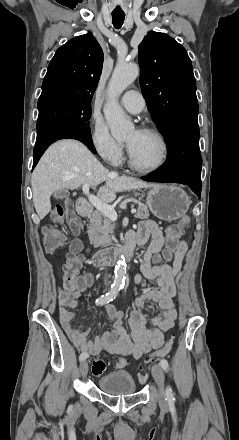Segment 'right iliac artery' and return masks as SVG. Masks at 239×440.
<instances>
[{
	"label": "right iliac artery",
	"mask_w": 239,
	"mask_h": 440,
	"mask_svg": "<svg viewBox=\"0 0 239 440\" xmlns=\"http://www.w3.org/2000/svg\"><path fill=\"white\" fill-rule=\"evenodd\" d=\"M120 288L118 286H112L111 290L105 294L102 295L101 297L97 298L95 303L96 305H104L106 303H109L110 301H113V299H115V297L117 296L118 292H119ZM88 357V354L83 352L80 354L79 356V360L83 361Z\"/></svg>",
	"instance_id": "82829eb1"
}]
</instances>
